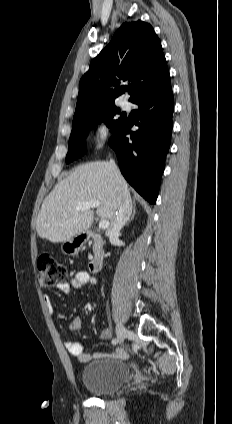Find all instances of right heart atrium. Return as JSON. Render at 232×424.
Segmentation results:
<instances>
[{
  "label": "right heart atrium",
  "instance_id": "obj_1",
  "mask_svg": "<svg viewBox=\"0 0 232 424\" xmlns=\"http://www.w3.org/2000/svg\"><path fill=\"white\" fill-rule=\"evenodd\" d=\"M111 127L105 120L98 121L90 134L91 144L95 150L101 149L109 140Z\"/></svg>",
  "mask_w": 232,
  "mask_h": 424
}]
</instances>
